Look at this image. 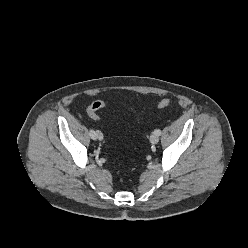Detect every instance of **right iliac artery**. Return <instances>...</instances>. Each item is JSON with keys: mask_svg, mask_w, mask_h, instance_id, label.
<instances>
[{"mask_svg": "<svg viewBox=\"0 0 248 248\" xmlns=\"http://www.w3.org/2000/svg\"><path fill=\"white\" fill-rule=\"evenodd\" d=\"M89 134L91 136L92 139H95L96 138V132L94 130H90L89 131Z\"/></svg>", "mask_w": 248, "mask_h": 248, "instance_id": "1", "label": "right iliac artery"}]
</instances>
